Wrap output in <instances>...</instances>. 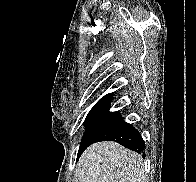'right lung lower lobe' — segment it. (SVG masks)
I'll return each mask as SVG.
<instances>
[{
  "mask_svg": "<svg viewBox=\"0 0 196 182\" xmlns=\"http://www.w3.org/2000/svg\"><path fill=\"white\" fill-rule=\"evenodd\" d=\"M100 141H115L130 150L137 153H143V156L145 155L143 152L145 144L140 133L131 124L126 123L123 120H120L105 129L91 144ZM81 153L78 154V157Z\"/></svg>",
  "mask_w": 196,
  "mask_h": 182,
  "instance_id": "right-lung-lower-lobe-1",
  "label": "right lung lower lobe"
}]
</instances>
